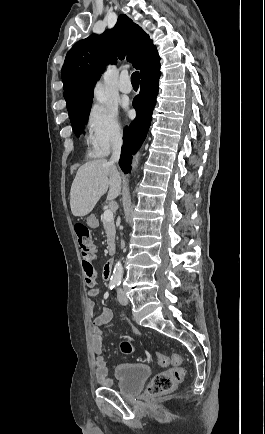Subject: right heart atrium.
I'll list each match as a JSON object with an SVG mask.
<instances>
[{
    "label": "right heart atrium",
    "mask_w": 265,
    "mask_h": 434,
    "mask_svg": "<svg viewBox=\"0 0 265 434\" xmlns=\"http://www.w3.org/2000/svg\"><path fill=\"white\" fill-rule=\"evenodd\" d=\"M89 113L84 138L86 152L91 154L92 159H109L113 157L115 148H126L118 101H109L108 106H91Z\"/></svg>",
    "instance_id": "obj_1"
}]
</instances>
